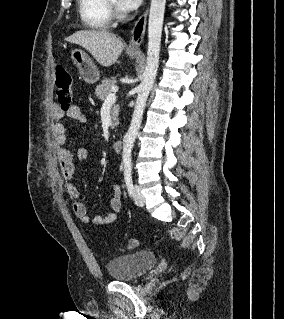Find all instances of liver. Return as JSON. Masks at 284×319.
<instances>
[{
	"label": "liver",
	"instance_id": "6515ba94",
	"mask_svg": "<svg viewBox=\"0 0 284 319\" xmlns=\"http://www.w3.org/2000/svg\"><path fill=\"white\" fill-rule=\"evenodd\" d=\"M66 41L85 48L104 67L113 65L124 49L123 41L104 29L77 31Z\"/></svg>",
	"mask_w": 284,
	"mask_h": 319
}]
</instances>
